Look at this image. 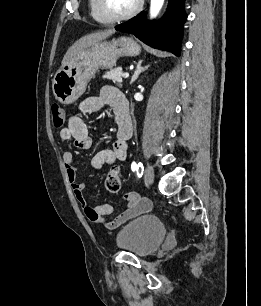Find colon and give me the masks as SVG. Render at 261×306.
<instances>
[{"label": "colon", "instance_id": "5ec220e1", "mask_svg": "<svg viewBox=\"0 0 261 306\" xmlns=\"http://www.w3.org/2000/svg\"><path fill=\"white\" fill-rule=\"evenodd\" d=\"M52 118L54 126L61 127L66 118L65 110L59 104L52 105ZM106 189L111 193H117L121 188L120 170L117 166H114L107 173L105 180Z\"/></svg>", "mask_w": 261, "mask_h": 306}]
</instances>
